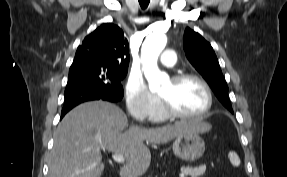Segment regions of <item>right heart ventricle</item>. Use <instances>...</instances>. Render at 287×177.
<instances>
[{"instance_id":"e07e8e85","label":"right heart ventricle","mask_w":287,"mask_h":177,"mask_svg":"<svg viewBox=\"0 0 287 177\" xmlns=\"http://www.w3.org/2000/svg\"><path fill=\"white\" fill-rule=\"evenodd\" d=\"M166 119V115L161 108L158 109L156 115L153 117L154 121L162 122Z\"/></svg>"}]
</instances>
